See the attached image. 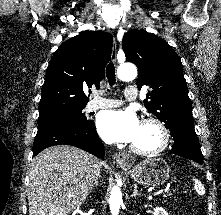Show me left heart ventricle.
<instances>
[{
	"label": "left heart ventricle",
	"mask_w": 221,
	"mask_h": 215,
	"mask_svg": "<svg viewBox=\"0 0 221 215\" xmlns=\"http://www.w3.org/2000/svg\"><path fill=\"white\" fill-rule=\"evenodd\" d=\"M160 141L161 136L156 126L141 123L138 136L132 144L143 149H152L158 146Z\"/></svg>",
	"instance_id": "1"
}]
</instances>
